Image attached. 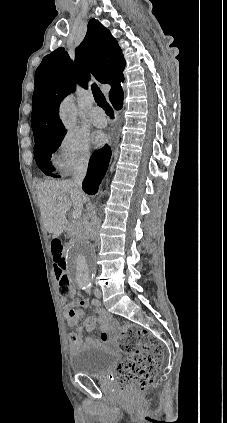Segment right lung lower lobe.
I'll use <instances>...</instances> for the list:
<instances>
[{
    "label": "right lung lower lobe",
    "instance_id": "right-lung-lower-lobe-1",
    "mask_svg": "<svg viewBox=\"0 0 227 423\" xmlns=\"http://www.w3.org/2000/svg\"><path fill=\"white\" fill-rule=\"evenodd\" d=\"M115 109L119 110L123 106V101L113 105ZM111 157V150L109 146L96 151L90 158L88 173L83 181V190L88 194H95L98 185L104 177Z\"/></svg>",
    "mask_w": 227,
    "mask_h": 423
}]
</instances>
